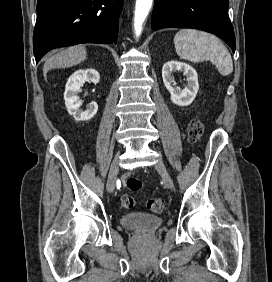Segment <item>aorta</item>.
Here are the masks:
<instances>
[{
    "mask_svg": "<svg viewBox=\"0 0 272 282\" xmlns=\"http://www.w3.org/2000/svg\"><path fill=\"white\" fill-rule=\"evenodd\" d=\"M153 0H136L134 13V31L135 35L140 36L143 28V23L146 20Z\"/></svg>",
    "mask_w": 272,
    "mask_h": 282,
    "instance_id": "1",
    "label": "aorta"
}]
</instances>
